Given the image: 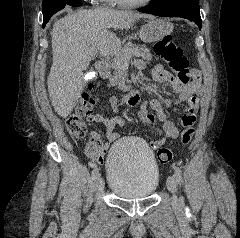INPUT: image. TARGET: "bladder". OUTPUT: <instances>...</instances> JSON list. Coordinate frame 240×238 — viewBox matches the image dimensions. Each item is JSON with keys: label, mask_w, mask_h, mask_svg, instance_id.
<instances>
[{"label": "bladder", "mask_w": 240, "mask_h": 238, "mask_svg": "<svg viewBox=\"0 0 240 238\" xmlns=\"http://www.w3.org/2000/svg\"><path fill=\"white\" fill-rule=\"evenodd\" d=\"M108 185L119 197H149L159 182L153 151L144 143L126 138L115 143L106 161Z\"/></svg>", "instance_id": "obj_1"}]
</instances>
